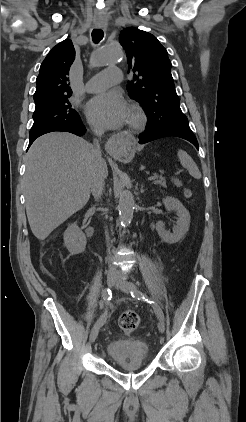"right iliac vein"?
Returning a JSON list of instances; mask_svg holds the SVG:
<instances>
[{
	"mask_svg": "<svg viewBox=\"0 0 246 422\" xmlns=\"http://www.w3.org/2000/svg\"><path fill=\"white\" fill-rule=\"evenodd\" d=\"M116 280H117L116 274L109 273L107 275V284H108L109 287H113L115 285V283H116ZM99 328L100 327H94V329H93V331H92V333L90 335V341L92 343H94L96 341V339H97Z\"/></svg>",
	"mask_w": 246,
	"mask_h": 422,
	"instance_id": "obj_1",
	"label": "right iliac vein"
}]
</instances>
